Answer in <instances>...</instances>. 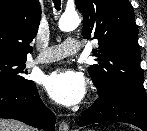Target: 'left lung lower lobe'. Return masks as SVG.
Returning a JSON list of instances; mask_svg holds the SVG:
<instances>
[{"mask_svg": "<svg viewBox=\"0 0 147 131\" xmlns=\"http://www.w3.org/2000/svg\"><path fill=\"white\" fill-rule=\"evenodd\" d=\"M106 121L130 123L147 131L146 94L121 91L109 97H99L81 114L79 126Z\"/></svg>", "mask_w": 147, "mask_h": 131, "instance_id": "0a47b994", "label": "left lung lower lobe"}]
</instances>
